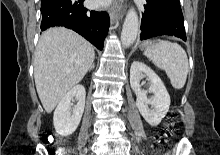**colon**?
<instances>
[{
  "mask_svg": "<svg viewBox=\"0 0 220 155\" xmlns=\"http://www.w3.org/2000/svg\"><path fill=\"white\" fill-rule=\"evenodd\" d=\"M171 119H174V116H172ZM175 123H176L175 121H172L171 126H174ZM160 137L163 138L162 140L164 141V140H165L164 138H168V137H169V134H168V133H161V134H160Z\"/></svg>",
  "mask_w": 220,
  "mask_h": 155,
  "instance_id": "1",
  "label": "colon"
}]
</instances>
